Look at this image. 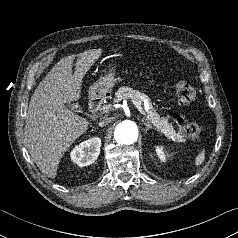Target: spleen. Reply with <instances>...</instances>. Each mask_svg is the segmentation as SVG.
I'll use <instances>...</instances> for the list:
<instances>
[{"label": "spleen", "mask_w": 238, "mask_h": 238, "mask_svg": "<svg viewBox=\"0 0 238 238\" xmlns=\"http://www.w3.org/2000/svg\"><path fill=\"white\" fill-rule=\"evenodd\" d=\"M205 159V149L201 150L195 159V166H200Z\"/></svg>", "instance_id": "3e777b00"}]
</instances>
